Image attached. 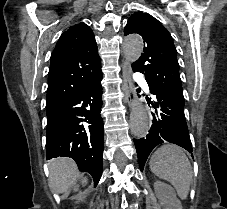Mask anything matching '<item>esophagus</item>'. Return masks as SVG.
I'll return each instance as SVG.
<instances>
[{"label": "esophagus", "mask_w": 227, "mask_h": 209, "mask_svg": "<svg viewBox=\"0 0 227 209\" xmlns=\"http://www.w3.org/2000/svg\"><path fill=\"white\" fill-rule=\"evenodd\" d=\"M131 74L132 70L129 62L127 60H124L122 67V89L125 93L124 101L129 105L130 110H135L137 107V102H135L137 95L135 92V86L132 82Z\"/></svg>", "instance_id": "obj_1"}]
</instances>
